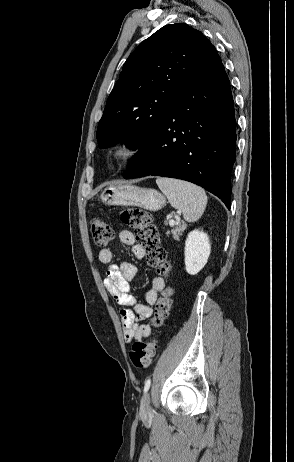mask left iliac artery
<instances>
[{"label":"left iliac artery","instance_id":"44dca946","mask_svg":"<svg viewBox=\"0 0 294 462\" xmlns=\"http://www.w3.org/2000/svg\"><path fill=\"white\" fill-rule=\"evenodd\" d=\"M150 385H151V379L148 378V379L146 380V382H145V385H144V392H145V393L149 390Z\"/></svg>","mask_w":294,"mask_h":462}]
</instances>
